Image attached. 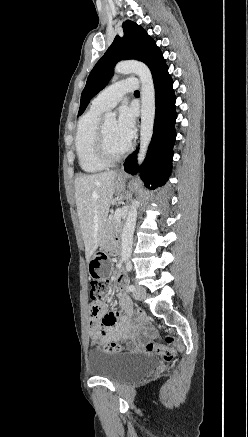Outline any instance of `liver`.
<instances>
[{
  "label": "liver",
  "instance_id": "obj_1",
  "mask_svg": "<svg viewBox=\"0 0 248 437\" xmlns=\"http://www.w3.org/2000/svg\"><path fill=\"white\" fill-rule=\"evenodd\" d=\"M115 171L80 175L75 179V200L87 262L102 242L115 191Z\"/></svg>",
  "mask_w": 248,
  "mask_h": 437
}]
</instances>
